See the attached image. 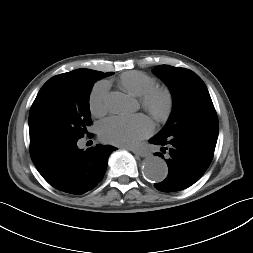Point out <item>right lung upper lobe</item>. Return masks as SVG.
<instances>
[{"mask_svg": "<svg viewBox=\"0 0 253 253\" xmlns=\"http://www.w3.org/2000/svg\"><path fill=\"white\" fill-rule=\"evenodd\" d=\"M84 73L104 74L103 72L90 70V69H77V70H74L72 72H68V73H64V74H84Z\"/></svg>", "mask_w": 253, "mask_h": 253, "instance_id": "1", "label": "right lung upper lobe"}]
</instances>
